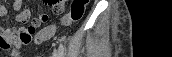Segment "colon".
<instances>
[{
  "mask_svg": "<svg viewBox=\"0 0 172 57\" xmlns=\"http://www.w3.org/2000/svg\"><path fill=\"white\" fill-rule=\"evenodd\" d=\"M53 2L58 4L64 3L63 0H53ZM88 2L89 0H73L69 11L62 18V25L68 26L79 21L85 13ZM54 31L55 29L53 27H48L41 33V35L44 37H51L54 34Z\"/></svg>",
  "mask_w": 172,
  "mask_h": 57,
  "instance_id": "1",
  "label": "colon"
}]
</instances>
